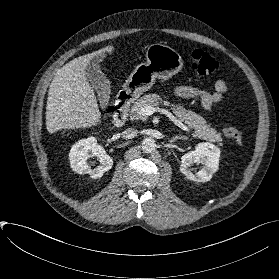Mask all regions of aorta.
I'll return each mask as SVG.
<instances>
[{"label":"aorta","mask_w":279,"mask_h":279,"mask_svg":"<svg viewBox=\"0 0 279 279\" xmlns=\"http://www.w3.org/2000/svg\"><path fill=\"white\" fill-rule=\"evenodd\" d=\"M156 149V143L153 138L147 137L142 141V150L145 153H151Z\"/></svg>","instance_id":"obj_1"}]
</instances>
